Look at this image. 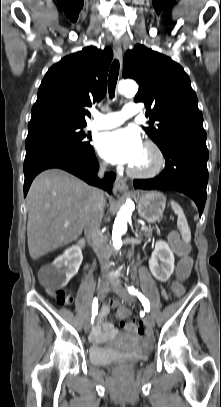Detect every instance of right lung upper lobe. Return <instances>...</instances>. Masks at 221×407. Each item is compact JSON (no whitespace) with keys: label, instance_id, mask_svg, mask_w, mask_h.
<instances>
[{"label":"right lung upper lobe","instance_id":"1","mask_svg":"<svg viewBox=\"0 0 221 407\" xmlns=\"http://www.w3.org/2000/svg\"><path fill=\"white\" fill-rule=\"evenodd\" d=\"M112 57L110 48L90 46L53 65L39 87L28 128L55 123L86 125L87 108L106 94Z\"/></svg>","mask_w":221,"mask_h":407}]
</instances>
